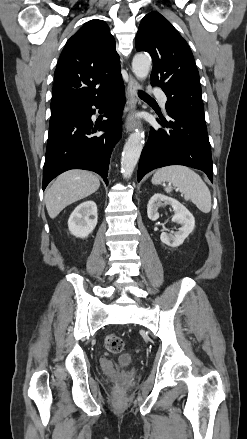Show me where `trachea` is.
Segmentation results:
<instances>
[{
	"instance_id": "3493384b",
	"label": "trachea",
	"mask_w": 247,
	"mask_h": 439,
	"mask_svg": "<svg viewBox=\"0 0 247 439\" xmlns=\"http://www.w3.org/2000/svg\"><path fill=\"white\" fill-rule=\"evenodd\" d=\"M139 96L140 97H144V98H150V96H148L146 93H144L143 91H139Z\"/></svg>"
}]
</instances>
